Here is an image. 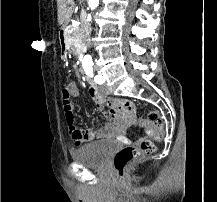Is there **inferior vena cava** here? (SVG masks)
<instances>
[{
	"label": "inferior vena cava",
	"mask_w": 217,
	"mask_h": 202,
	"mask_svg": "<svg viewBox=\"0 0 217 202\" xmlns=\"http://www.w3.org/2000/svg\"><path fill=\"white\" fill-rule=\"evenodd\" d=\"M85 40H86V44H88V46H90V44H91L90 32H86V34H85Z\"/></svg>",
	"instance_id": "1"
}]
</instances>
